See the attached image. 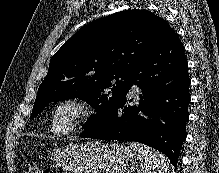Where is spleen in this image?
Segmentation results:
<instances>
[{"label": "spleen", "instance_id": "1", "mask_svg": "<svg viewBox=\"0 0 219 173\" xmlns=\"http://www.w3.org/2000/svg\"><path fill=\"white\" fill-rule=\"evenodd\" d=\"M142 164L137 173H168L169 160L161 152L138 142H130Z\"/></svg>", "mask_w": 219, "mask_h": 173}]
</instances>
